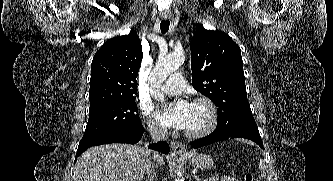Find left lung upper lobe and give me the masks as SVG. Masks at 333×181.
Returning <instances> with one entry per match:
<instances>
[{
	"instance_id": "left-lung-upper-lobe-1",
	"label": "left lung upper lobe",
	"mask_w": 333,
	"mask_h": 181,
	"mask_svg": "<svg viewBox=\"0 0 333 181\" xmlns=\"http://www.w3.org/2000/svg\"><path fill=\"white\" fill-rule=\"evenodd\" d=\"M193 87L218 106L234 132L260 137L247 100L240 47L224 32L198 26L190 41Z\"/></svg>"
}]
</instances>
